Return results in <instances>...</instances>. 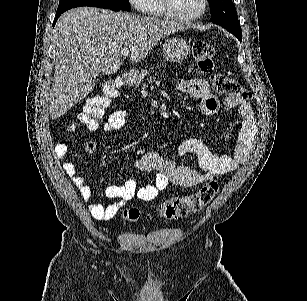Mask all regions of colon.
I'll return each instance as SVG.
<instances>
[{"instance_id":"obj_1","label":"colon","mask_w":307,"mask_h":301,"mask_svg":"<svg viewBox=\"0 0 307 301\" xmlns=\"http://www.w3.org/2000/svg\"><path fill=\"white\" fill-rule=\"evenodd\" d=\"M193 56L200 71L209 75L213 89L220 94L236 96L243 100L251 98V92L244 88L237 80L228 75L214 73V47L204 41L196 40L193 43ZM121 82L111 80L104 84L100 94L90 98L80 114V121L89 129L98 128L105 116L106 108L119 95ZM218 192V183L214 180L207 182L198 191L184 196H177L163 201L157 208L160 217L168 220L184 218L191 213L201 211L206 207ZM124 218L135 222L140 218L136 208H129L123 212Z\"/></svg>"}]
</instances>
